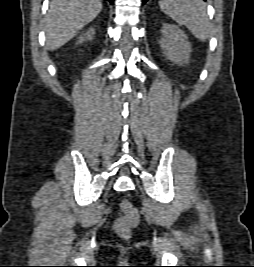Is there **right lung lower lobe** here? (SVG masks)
Masks as SVG:
<instances>
[{
  "label": "right lung lower lobe",
  "instance_id": "1",
  "mask_svg": "<svg viewBox=\"0 0 254 267\" xmlns=\"http://www.w3.org/2000/svg\"><path fill=\"white\" fill-rule=\"evenodd\" d=\"M111 4H113L114 0H108Z\"/></svg>",
  "mask_w": 254,
  "mask_h": 267
}]
</instances>
